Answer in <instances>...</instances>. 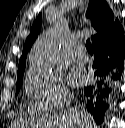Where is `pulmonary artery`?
Segmentation results:
<instances>
[{"instance_id":"obj_1","label":"pulmonary artery","mask_w":125,"mask_h":128,"mask_svg":"<svg viewBox=\"0 0 125 128\" xmlns=\"http://www.w3.org/2000/svg\"><path fill=\"white\" fill-rule=\"evenodd\" d=\"M73 61L77 63H87L89 61V56L84 50L83 45H79L72 54Z\"/></svg>"}]
</instances>
